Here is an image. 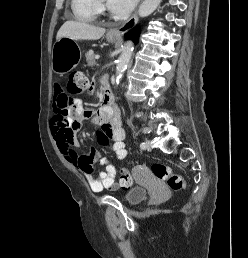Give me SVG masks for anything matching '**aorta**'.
<instances>
[{"label": "aorta", "mask_w": 248, "mask_h": 258, "mask_svg": "<svg viewBox=\"0 0 248 258\" xmlns=\"http://www.w3.org/2000/svg\"><path fill=\"white\" fill-rule=\"evenodd\" d=\"M162 0H144L140 5L138 14L140 17H146L153 13L160 5ZM133 51V43L127 41L122 49V53L117 61L116 67V84L118 85L121 78L123 77L124 71L128 63L130 62Z\"/></svg>", "instance_id": "obj_1"}]
</instances>
